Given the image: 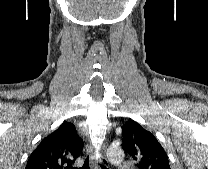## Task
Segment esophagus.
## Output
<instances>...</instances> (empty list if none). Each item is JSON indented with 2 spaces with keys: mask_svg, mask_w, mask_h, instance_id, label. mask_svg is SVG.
I'll return each mask as SVG.
<instances>
[{
  "mask_svg": "<svg viewBox=\"0 0 208 169\" xmlns=\"http://www.w3.org/2000/svg\"><path fill=\"white\" fill-rule=\"evenodd\" d=\"M100 165H102L104 167H108L109 166L108 159L106 157H104V156H101L98 159L97 163H93V169H100Z\"/></svg>",
  "mask_w": 208,
  "mask_h": 169,
  "instance_id": "obj_1",
  "label": "esophagus"
}]
</instances>
